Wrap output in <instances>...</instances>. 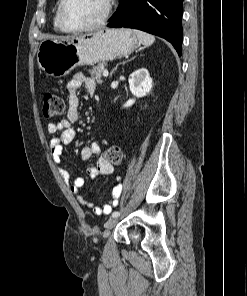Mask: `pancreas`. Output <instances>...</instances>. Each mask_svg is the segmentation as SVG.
I'll list each match as a JSON object with an SVG mask.
<instances>
[{
	"mask_svg": "<svg viewBox=\"0 0 247 296\" xmlns=\"http://www.w3.org/2000/svg\"><path fill=\"white\" fill-rule=\"evenodd\" d=\"M106 63L102 62L96 66H93L92 69L89 70L91 77L96 80L98 83H102V73L105 70Z\"/></svg>",
	"mask_w": 247,
	"mask_h": 296,
	"instance_id": "1",
	"label": "pancreas"
}]
</instances>
